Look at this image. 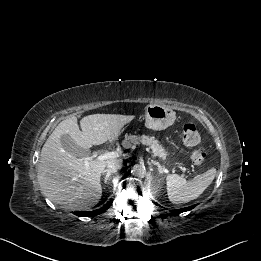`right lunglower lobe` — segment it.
<instances>
[{
    "label": "right lung lower lobe",
    "mask_w": 261,
    "mask_h": 261,
    "mask_svg": "<svg viewBox=\"0 0 261 261\" xmlns=\"http://www.w3.org/2000/svg\"><path fill=\"white\" fill-rule=\"evenodd\" d=\"M111 204H112V200L108 204L103 206L102 208L97 209L95 211H86V212L81 211V212H74V214L77 215V216H83V217L96 216V215L106 211L111 206Z\"/></svg>",
    "instance_id": "right-lung-lower-lobe-1"
}]
</instances>
